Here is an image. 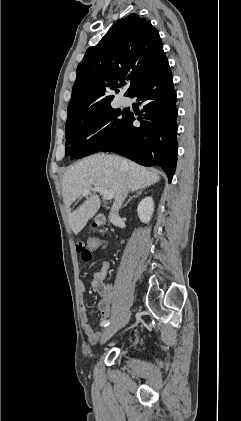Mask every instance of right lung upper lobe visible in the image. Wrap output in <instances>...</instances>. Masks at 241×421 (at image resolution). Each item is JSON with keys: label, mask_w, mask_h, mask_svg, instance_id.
<instances>
[{"label": "right lung upper lobe", "mask_w": 241, "mask_h": 421, "mask_svg": "<svg viewBox=\"0 0 241 421\" xmlns=\"http://www.w3.org/2000/svg\"><path fill=\"white\" fill-rule=\"evenodd\" d=\"M165 56L159 33L146 18L130 14L114 24L77 67L66 125L110 107L125 79L130 96Z\"/></svg>", "instance_id": "1"}]
</instances>
